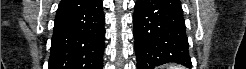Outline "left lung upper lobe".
Returning <instances> with one entry per match:
<instances>
[{"label":"left lung upper lobe","instance_id":"1","mask_svg":"<svg viewBox=\"0 0 246 69\" xmlns=\"http://www.w3.org/2000/svg\"><path fill=\"white\" fill-rule=\"evenodd\" d=\"M175 9H177L180 12H183L181 3L179 0H167Z\"/></svg>","mask_w":246,"mask_h":69}]
</instances>
